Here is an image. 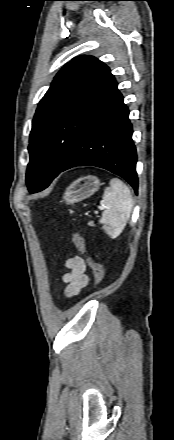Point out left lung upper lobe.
Returning a JSON list of instances; mask_svg holds the SVG:
<instances>
[{"mask_svg": "<svg viewBox=\"0 0 174 440\" xmlns=\"http://www.w3.org/2000/svg\"><path fill=\"white\" fill-rule=\"evenodd\" d=\"M114 81L109 67L93 56L74 58L55 76L32 122L26 174L31 193L48 187L60 173L87 118Z\"/></svg>", "mask_w": 174, "mask_h": 440, "instance_id": "obj_1", "label": "left lung upper lobe"}]
</instances>
